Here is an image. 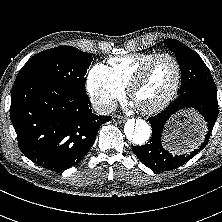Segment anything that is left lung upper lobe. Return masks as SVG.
<instances>
[{
  "mask_svg": "<svg viewBox=\"0 0 222 222\" xmlns=\"http://www.w3.org/2000/svg\"><path fill=\"white\" fill-rule=\"evenodd\" d=\"M165 43L175 53L181 68V86L178 94L194 89L217 92L208 67L196 52L175 39H166Z\"/></svg>",
  "mask_w": 222,
  "mask_h": 222,
  "instance_id": "left-lung-upper-lobe-1",
  "label": "left lung upper lobe"
}]
</instances>
